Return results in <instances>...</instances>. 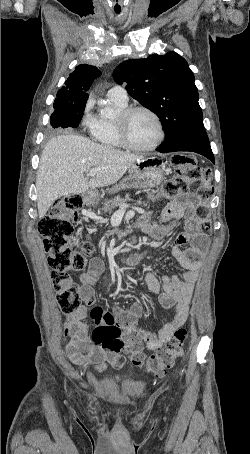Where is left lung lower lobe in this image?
Listing matches in <instances>:
<instances>
[{
  "instance_id": "1",
  "label": "left lung lower lobe",
  "mask_w": 250,
  "mask_h": 454,
  "mask_svg": "<svg viewBox=\"0 0 250 454\" xmlns=\"http://www.w3.org/2000/svg\"><path fill=\"white\" fill-rule=\"evenodd\" d=\"M157 151L161 153L176 151L196 152L207 157L209 160L215 163L214 155L211 150V146L205 129L192 132L185 136L184 138H182L181 140L170 145L160 146L157 148Z\"/></svg>"
}]
</instances>
